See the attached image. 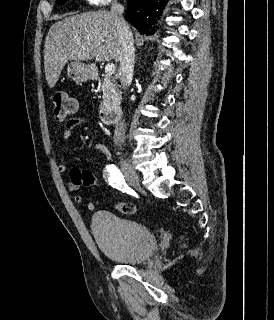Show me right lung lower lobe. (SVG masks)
<instances>
[{"label": "right lung lower lobe", "mask_w": 274, "mask_h": 320, "mask_svg": "<svg viewBox=\"0 0 274 320\" xmlns=\"http://www.w3.org/2000/svg\"><path fill=\"white\" fill-rule=\"evenodd\" d=\"M168 0H127L125 19L141 33L152 34L151 26L160 18Z\"/></svg>", "instance_id": "right-lung-lower-lobe-1"}]
</instances>
